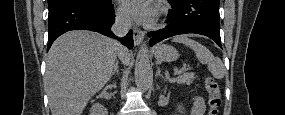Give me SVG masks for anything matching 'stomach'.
<instances>
[{"label":"stomach","mask_w":285,"mask_h":115,"mask_svg":"<svg viewBox=\"0 0 285 115\" xmlns=\"http://www.w3.org/2000/svg\"><path fill=\"white\" fill-rule=\"evenodd\" d=\"M154 56L157 60L172 62L177 60L179 54L174 47L169 45H161L154 50Z\"/></svg>","instance_id":"obj_1"}]
</instances>
